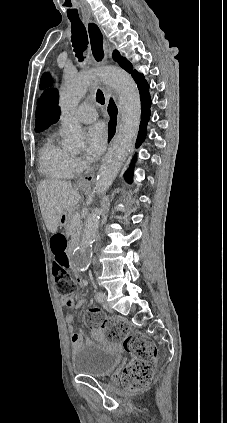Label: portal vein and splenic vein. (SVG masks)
<instances>
[{
    "label": "portal vein and splenic vein",
    "instance_id": "obj_1",
    "mask_svg": "<svg viewBox=\"0 0 227 423\" xmlns=\"http://www.w3.org/2000/svg\"><path fill=\"white\" fill-rule=\"evenodd\" d=\"M72 221L73 223H79V221H81L80 213H74V215H72Z\"/></svg>",
    "mask_w": 227,
    "mask_h": 423
}]
</instances>
